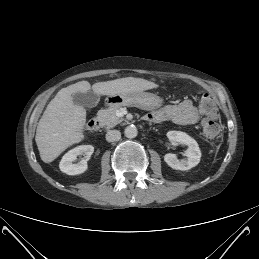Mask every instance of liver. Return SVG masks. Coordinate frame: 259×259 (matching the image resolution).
<instances>
[{
  "label": "liver",
  "instance_id": "6515ba94",
  "mask_svg": "<svg viewBox=\"0 0 259 259\" xmlns=\"http://www.w3.org/2000/svg\"><path fill=\"white\" fill-rule=\"evenodd\" d=\"M154 82L134 77L119 78L92 85L80 81L61 89L50 101L36 129L35 141L41 160L54 161L63 151L84 138L86 110L73 103L72 94L86 93L91 88L97 95L111 96L118 93L141 92L157 88Z\"/></svg>",
  "mask_w": 259,
  "mask_h": 259
}]
</instances>
